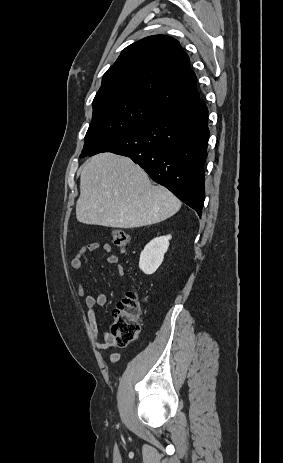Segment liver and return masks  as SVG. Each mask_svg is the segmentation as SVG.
<instances>
[{"instance_id":"liver-1","label":"liver","mask_w":283,"mask_h":463,"mask_svg":"<svg viewBox=\"0 0 283 463\" xmlns=\"http://www.w3.org/2000/svg\"><path fill=\"white\" fill-rule=\"evenodd\" d=\"M180 207L177 197L152 185L147 173L127 157L101 153L81 167L76 217L83 224L137 228L162 222Z\"/></svg>"}]
</instances>
